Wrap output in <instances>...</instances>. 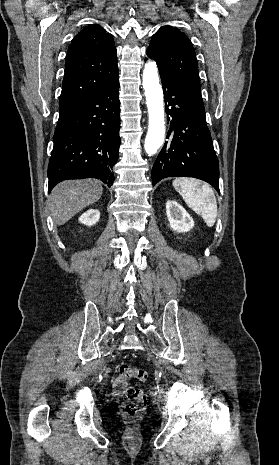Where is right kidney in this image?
Wrapping results in <instances>:
<instances>
[{
    "instance_id": "obj_1",
    "label": "right kidney",
    "mask_w": 279,
    "mask_h": 465,
    "mask_svg": "<svg viewBox=\"0 0 279 465\" xmlns=\"http://www.w3.org/2000/svg\"><path fill=\"white\" fill-rule=\"evenodd\" d=\"M99 218V210L89 209L79 217V222L87 226H93L99 221Z\"/></svg>"
}]
</instances>
